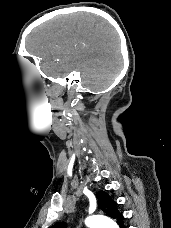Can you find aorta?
Returning a JSON list of instances; mask_svg holds the SVG:
<instances>
[{
  "label": "aorta",
  "mask_w": 171,
  "mask_h": 228,
  "mask_svg": "<svg viewBox=\"0 0 171 228\" xmlns=\"http://www.w3.org/2000/svg\"><path fill=\"white\" fill-rule=\"evenodd\" d=\"M85 224L88 228H119L113 220L101 215L89 216Z\"/></svg>",
  "instance_id": "762f6f07"
}]
</instances>
